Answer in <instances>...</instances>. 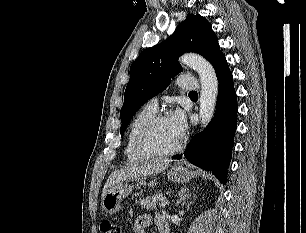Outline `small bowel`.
Listing matches in <instances>:
<instances>
[{
	"label": "small bowel",
	"mask_w": 306,
	"mask_h": 233,
	"mask_svg": "<svg viewBox=\"0 0 306 233\" xmlns=\"http://www.w3.org/2000/svg\"><path fill=\"white\" fill-rule=\"evenodd\" d=\"M155 221L158 230H160L161 226L167 224L166 218L163 215H158ZM151 223H152V218L149 215L147 214L141 215L134 222L133 232L146 233V229Z\"/></svg>",
	"instance_id": "obj_1"
}]
</instances>
